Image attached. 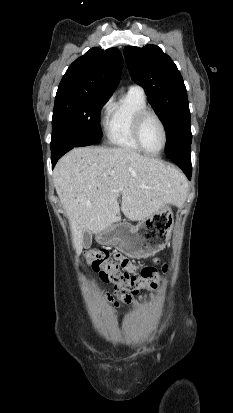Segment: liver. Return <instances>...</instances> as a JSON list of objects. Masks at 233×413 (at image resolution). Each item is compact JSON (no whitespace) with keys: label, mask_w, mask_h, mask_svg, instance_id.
<instances>
[{"label":"liver","mask_w":233,"mask_h":413,"mask_svg":"<svg viewBox=\"0 0 233 413\" xmlns=\"http://www.w3.org/2000/svg\"><path fill=\"white\" fill-rule=\"evenodd\" d=\"M54 185L77 254L84 232L97 234L118 222L120 209L129 220L141 221L163 206L178 205L186 192L175 167L128 148L100 146L74 148L64 155L54 169Z\"/></svg>","instance_id":"1"}]
</instances>
